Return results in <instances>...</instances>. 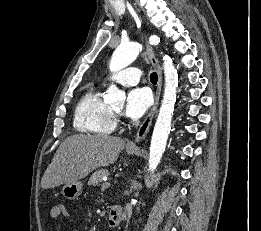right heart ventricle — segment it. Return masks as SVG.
<instances>
[{"label":"right heart ventricle","mask_w":261,"mask_h":231,"mask_svg":"<svg viewBox=\"0 0 261 231\" xmlns=\"http://www.w3.org/2000/svg\"><path fill=\"white\" fill-rule=\"evenodd\" d=\"M115 125L112 108L103 101L99 90H88L75 107L74 128L81 133L108 135L114 131Z\"/></svg>","instance_id":"obj_1"}]
</instances>
